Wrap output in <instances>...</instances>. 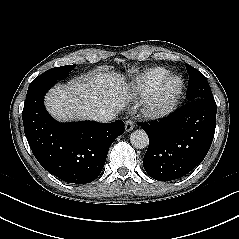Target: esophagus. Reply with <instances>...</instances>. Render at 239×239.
I'll use <instances>...</instances> for the list:
<instances>
[{"label": "esophagus", "instance_id": "1", "mask_svg": "<svg viewBox=\"0 0 239 239\" xmlns=\"http://www.w3.org/2000/svg\"><path fill=\"white\" fill-rule=\"evenodd\" d=\"M134 128V123L132 120L125 121V131L130 132Z\"/></svg>", "mask_w": 239, "mask_h": 239}]
</instances>
